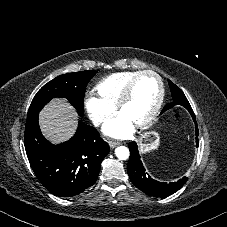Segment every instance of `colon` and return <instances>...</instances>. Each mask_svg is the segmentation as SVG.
Listing matches in <instances>:
<instances>
[{
  "label": "colon",
  "instance_id": "obj_1",
  "mask_svg": "<svg viewBox=\"0 0 227 227\" xmlns=\"http://www.w3.org/2000/svg\"><path fill=\"white\" fill-rule=\"evenodd\" d=\"M175 116H176L177 118H179L180 114H179V113H176Z\"/></svg>",
  "mask_w": 227,
  "mask_h": 227
}]
</instances>
